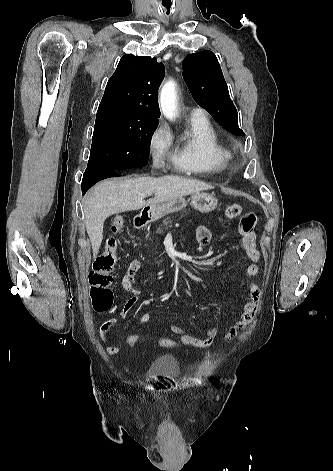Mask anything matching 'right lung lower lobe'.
Returning <instances> with one entry per match:
<instances>
[{"label": "right lung lower lobe", "instance_id": "1", "mask_svg": "<svg viewBox=\"0 0 333 471\" xmlns=\"http://www.w3.org/2000/svg\"><path fill=\"white\" fill-rule=\"evenodd\" d=\"M120 171H97V170H86L82 179V193L83 195L87 190L93 186L96 182L109 178L119 176Z\"/></svg>", "mask_w": 333, "mask_h": 471}]
</instances>
